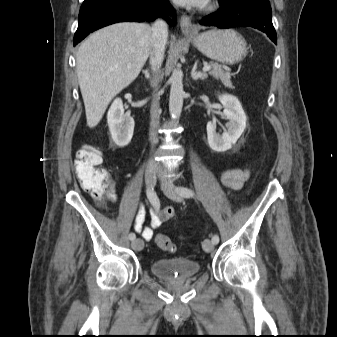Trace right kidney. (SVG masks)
Returning a JSON list of instances; mask_svg holds the SVG:
<instances>
[{"mask_svg":"<svg viewBox=\"0 0 337 337\" xmlns=\"http://www.w3.org/2000/svg\"><path fill=\"white\" fill-rule=\"evenodd\" d=\"M107 122L114 143L119 147L128 145L133 136L134 120L124 114L120 98L113 101L107 114Z\"/></svg>","mask_w":337,"mask_h":337,"instance_id":"1","label":"right kidney"}]
</instances>
